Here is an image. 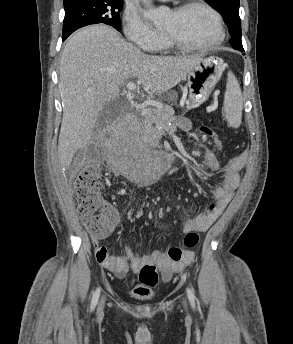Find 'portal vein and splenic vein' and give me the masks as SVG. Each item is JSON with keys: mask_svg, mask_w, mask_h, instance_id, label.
Instances as JSON below:
<instances>
[{"mask_svg": "<svg viewBox=\"0 0 293 344\" xmlns=\"http://www.w3.org/2000/svg\"><path fill=\"white\" fill-rule=\"evenodd\" d=\"M127 89L130 90V91H133L136 89V84L132 81L128 82L127 83Z\"/></svg>", "mask_w": 293, "mask_h": 344, "instance_id": "18ae733b", "label": "portal vein and splenic vein"}]
</instances>
